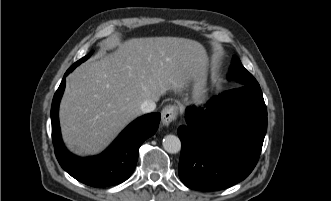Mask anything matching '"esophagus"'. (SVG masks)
<instances>
[{"label":"esophagus","instance_id":"1","mask_svg":"<svg viewBox=\"0 0 331 201\" xmlns=\"http://www.w3.org/2000/svg\"><path fill=\"white\" fill-rule=\"evenodd\" d=\"M178 115V108L175 105H168L163 108L161 112V121L163 126H169L176 120Z\"/></svg>","mask_w":331,"mask_h":201}]
</instances>
